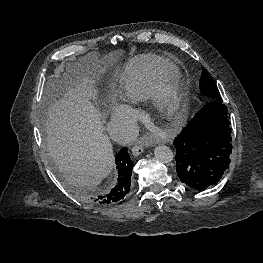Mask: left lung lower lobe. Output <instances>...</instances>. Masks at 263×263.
I'll use <instances>...</instances> for the list:
<instances>
[{
    "instance_id": "obj_1",
    "label": "left lung lower lobe",
    "mask_w": 263,
    "mask_h": 263,
    "mask_svg": "<svg viewBox=\"0 0 263 263\" xmlns=\"http://www.w3.org/2000/svg\"><path fill=\"white\" fill-rule=\"evenodd\" d=\"M222 102L212 99L174 139L178 177L197 190L215 185L230 163L232 129Z\"/></svg>"
}]
</instances>
